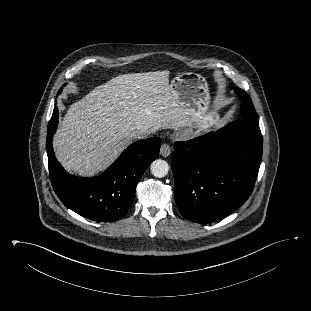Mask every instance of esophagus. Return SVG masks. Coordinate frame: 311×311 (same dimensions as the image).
Masks as SVG:
<instances>
[{"mask_svg": "<svg viewBox=\"0 0 311 311\" xmlns=\"http://www.w3.org/2000/svg\"><path fill=\"white\" fill-rule=\"evenodd\" d=\"M160 154L163 157H168L171 154V148L168 144H163L160 148Z\"/></svg>", "mask_w": 311, "mask_h": 311, "instance_id": "34e87169", "label": "esophagus"}]
</instances>
